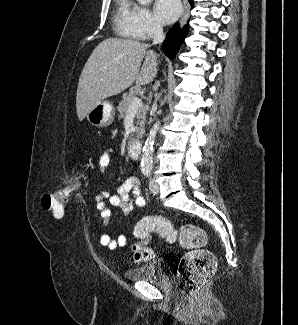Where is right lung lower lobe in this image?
<instances>
[{
  "instance_id": "98d812e1",
  "label": "right lung lower lobe",
  "mask_w": 298,
  "mask_h": 325,
  "mask_svg": "<svg viewBox=\"0 0 298 325\" xmlns=\"http://www.w3.org/2000/svg\"><path fill=\"white\" fill-rule=\"evenodd\" d=\"M191 8L194 6L193 0H189ZM189 25H185L180 28L179 24L176 23L168 32L165 41L163 42V50L166 55L173 59L180 48V44L183 42L184 38L188 33Z\"/></svg>"
}]
</instances>
